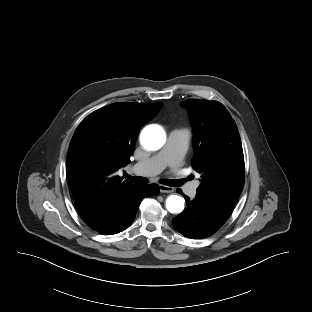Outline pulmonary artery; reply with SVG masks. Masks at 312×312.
<instances>
[{"label": "pulmonary artery", "instance_id": "obj_1", "mask_svg": "<svg viewBox=\"0 0 312 312\" xmlns=\"http://www.w3.org/2000/svg\"><path fill=\"white\" fill-rule=\"evenodd\" d=\"M190 141V135L186 130L174 129L169 133L163 149L155 156L144 161H138L133 169L138 173L158 174L166 167H178L182 161ZM198 183L189 185L187 194L195 196Z\"/></svg>", "mask_w": 312, "mask_h": 312}]
</instances>
